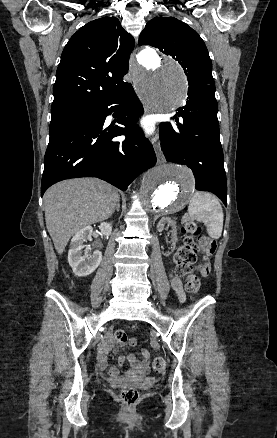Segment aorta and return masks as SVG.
<instances>
[{
  "mask_svg": "<svg viewBox=\"0 0 277 438\" xmlns=\"http://www.w3.org/2000/svg\"><path fill=\"white\" fill-rule=\"evenodd\" d=\"M138 59L133 76L142 100L155 112L168 113L181 106L187 95L186 77L181 66L151 49L142 50ZM194 186V177L187 167L159 165L143 177L141 202L154 219L173 214L185 207Z\"/></svg>",
  "mask_w": 277,
  "mask_h": 438,
  "instance_id": "obj_1",
  "label": "aorta"
}]
</instances>
